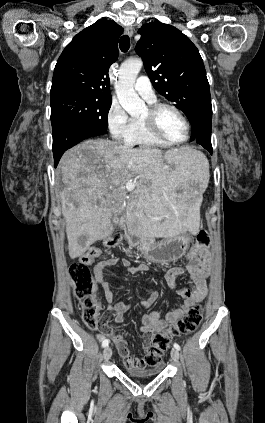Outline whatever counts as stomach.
<instances>
[{"label": "stomach", "instance_id": "obj_1", "mask_svg": "<svg viewBox=\"0 0 265 423\" xmlns=\"http://www.w3.org/2000/svg\"><path fill=\"white\" fill-rule=\"evenodd\" d=\"M192 239V233H183L174 237H167L161 241L153 239L142 242L145 257L153 262L165 263L181 258Z\"/></svg>", "mask_w": 265, "mask_h": 423}]
</instances>
